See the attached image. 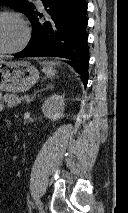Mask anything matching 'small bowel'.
<instances>
[{
  "instance_id": "1",
  "label": "small bowel",
  "mask_w": 128,
  "mask_h": 213,
  "mask_svg": "<svg viewBox=\"0 0 128 213\" xmlns=\"http://www.w3.org/2000/svg\"><path fill=\"white\" fill-rule=\"evenodd\" d=\"M2 110V104H1V102H0V111Z\"/></svg>"
}]
</instances>
